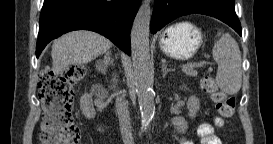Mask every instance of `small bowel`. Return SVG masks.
<instances>
[{
  "label": "small bowel",
  "mask_w": 273,
  "mask_h": 144,
  "mask_svg": "<svg viewBox=\"0 0 273 144\" xmlns=\"http://www.w3.org/2000/svg\"><path fill=\"white\" fill-rule=\"evenodd\" d=\"M217 126H221V120L219 117L215 118ZM197 134L200 137L201 144H221L219 136L215 132V127L210 123H201L197 128ZM181 144H192L191 141L185 138L180 139Z\"/></svg>",
  "instance_id": "obj_1"
}]
</instances>
